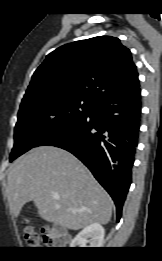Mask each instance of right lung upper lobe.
Wrapping results in <instances>:
<instances>
[{"mask_svg":"<svg viewBox=\"0 0 162 261\" xmlns=\"http://www.w3.org/2000/svg\"><path fill=\"white\" fill-rule=\"evenodd\" d=\"M137 87L138 73L130 50L116 37L98 36L51 52L34 72L23 100L74 95L95 102Z\"/></svg>","mask_w":162,"mask_h":261,"instance_id":"right-lung-upper-lobe-1","label":"right lung upper lobe"}]
</instances>
